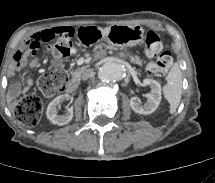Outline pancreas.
<instances>
[{
    "label": "pancreas",
    "mask_w": 215,
    "mask_h": 183,
    "mask_svg": "<svg viewBox=\"0 0 215 183\" xmlns=\"http://www.w3.org/2000/svg\"><path fill=\"white\" fill-rule=\"evenodd\" d=\"M102 47H106V48L109 49V50L115 49L113 46H111V45H105V44H103V45H98L96 48H97V49H101ZM119 56H120L121 58H125V59H126V58H129V60H130L131 63H135V64L140 65V66H141L143 63H145V61H143L142 59H140L139 56H137V55H135V56L130 55L129 52L127 51V49H125L124 52H120ZM84 69H85V67H79V68H77V69H75V70L70 71V74H71L73 77L78 78V77L81 76V74H82V72L84 71Z\"/></svg>",
    "instance_id": "cf45deb5"
}]
</instances>
